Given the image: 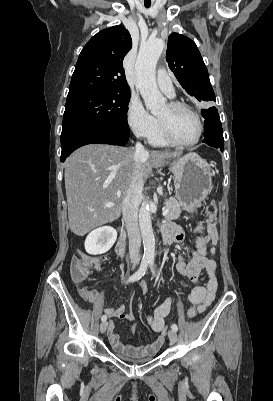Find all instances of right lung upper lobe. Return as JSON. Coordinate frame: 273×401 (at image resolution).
Wrapping results in <instances>:
<instances>
[{
  "instance_id": "1",
  "label": "right lung upper lobe",
  "mask_w": 273,
  "mask_h": 401,
  "mask_svg": "<svg viewBox=\"0 0 273 401\" xmlns=\"http://www.w3.org/2000/svg\"><path fill=\"white\" fill-rule=\"evenodd\" d=\"M131 48V36L123 26L98 32L79 55L68 96L84 92L130 94L123 59Z\"/></svg>"
}]
</instances>
